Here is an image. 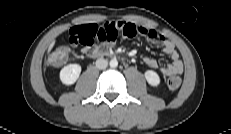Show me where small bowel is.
Here are the masks:
<instances>
[{
    "label": "small bowel",
    "instance_id": "c3829d8e",
    "mask_svg": "<svg viewBox=\"0 0 231 134\" xmlns=\"http://www.w3.org/2000/svg\"><path fill=\"white\" fill-rule=\"evenodd\" d=\"M118 32H121L126 38L142 36L153 44L161 45L163 51L171 58L169 64L159 66L155 59L146 57L143 61L147 67L157 70L165 76L177 75L183 72V63L174 43L155 30L134 23L112 21L101 25L95 23L79 24L69 30V43L72 47L82 45V53L90 55L103 45L112 46Z\"/></svg>",
    "mask_w": 231,
    "mask_h": 134
}]
</instances>
